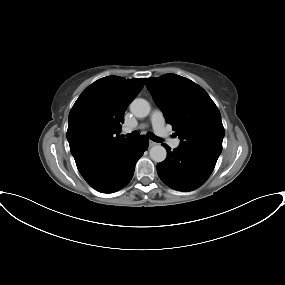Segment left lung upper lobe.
Here are the masks:
<instances>
[{"label":"left lung upper lobe","mask_w":285,"mask_h":285,"mask_svg":"<svg viewBox=\"0 0 285 285\" xmlns=\"http://www.w3.org/2000/svg\"><path fill=\"white\" fill-rule=\"evenodd\" d=\"M146 85L180 146L219 157L225 131L218 108L203 88L176 74L147 78Z\"/></svg>","instance_id":"left-lung-upper-lobe-1"}]
</instances>
